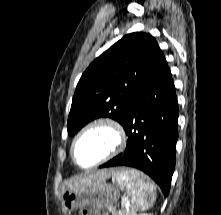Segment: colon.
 Instances as JSON below:
<instances>
[{
	"mask_svg": "<svg viewBox=\"0 0 221 215\" xmlns=\"http://www.w3.org/2000/svg\"><path fill=\"white\" fill-rule=\"evenodd\" d=\"M80 215H109V213L97 208H84L81 210Z\"/></svg>",
	"mask_w": 221,
	"mask_h": 215,
	"instance_id": "obj_1",
	"label": "colon"
}]
</instances>
